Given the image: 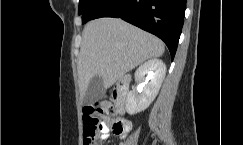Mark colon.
Segmentation results:
<instances>
[{
    "instance_id": "5ec220e1",
    "label": "colon",
    "mask_w": 243,
    "mask_h": 145,
    "mask_svg": "<svg viewBox=\"0 0 243 145\" xmlns=\"http://www.w3.org/2000/svg\"><path fill=\"white\" fill-rule=\"evenodd\" d=\"M111 111V107L101 108L98 104L84 108L82 117L83 145H99L97 135L102 126V119L106 113ZM110 128L115 134H122L127 129V122L121 119L113 120Z\"/></svg>"
}]
</instances>
